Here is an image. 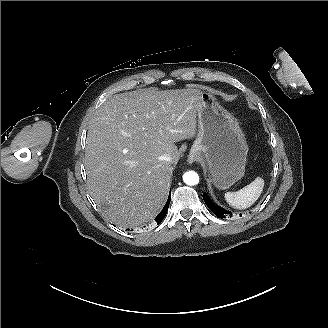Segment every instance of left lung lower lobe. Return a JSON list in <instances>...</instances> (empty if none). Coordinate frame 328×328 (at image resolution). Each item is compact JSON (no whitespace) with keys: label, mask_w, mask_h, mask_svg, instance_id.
<instances>
[{"label":"left lung lower lobe","mask_w":328,"mask_h":328,"mask_svg":"<svg viewBox=\"0 0 328 328\" xmlns=\"http://www.w3.org/2000/svg\"><path fill=\"white\" fill-rule=\"evenodd\" d=\"M203 199L208 206V208L215 213L216 216L220 218H226V216H231L232 213L224 210L223 208L215 205L206 194H203ZM231 218V217H230Z\"/></svg>","instance_id":"1"}]
</instances>
